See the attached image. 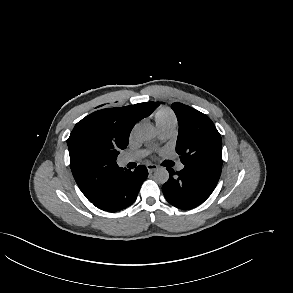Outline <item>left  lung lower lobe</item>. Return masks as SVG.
Here are the masks:
<instances>
[{
  "label": "left lung lower lobe",
  "mask_w": 293,
  "mask_h": 293,
  "mask_svg": "<svg viewBox=\"0 0 293 293\" xmlns=\"http://www.w3.org/2000/svg\"><path fill=\"white\" fill-rule=\"evenodd\" d=\"M169 171V179L162 186L166 200L180 209H191L203 203L215 189L221 172L208 167L185 165L182 170Z\"/></svg>",
  "instance_id": "1"
}]
</instances>
